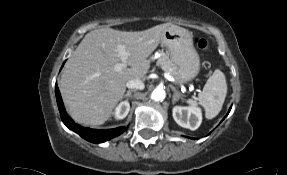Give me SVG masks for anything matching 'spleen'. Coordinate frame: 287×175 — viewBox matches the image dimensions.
Segmentation results:
<instances>
[{"label":"spleen","instance_id":"spleen-1","mask_svg":"<svg viewBox=\"0 0 287 175\" xmlns=\"http://www.w3.org/2000/svg\"><path fill=\"white\" fill-rule=\"evenodd\" d=\"M227 93V83L224 73L217 69L207 80L203 90L198 95V102L189 99L191 105H201L208 119L216 117L222 109Z\"/></svg>","mask_w":287,"mask_h":175}]
</instances>
